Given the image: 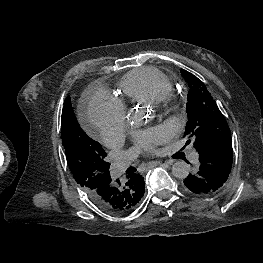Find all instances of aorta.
I'll return each mask as SVG.
<instances>
[{
    "instance_id": "1",
    "label": "aorta",
    "mask_w": 263,
    "mask_h": 263,
    "mask_svg": "<svg viewBox=\"0 0 263 263\" xmlns=\"http://www.w3.org/2000/svg\"><path fill=\"white\" fill-rule=\"evenodd\" d=\"M190 172L189 165L184 161L175 162L172 166V174L176 178L185 179Z\"/></svg>"
}]
</instances>
